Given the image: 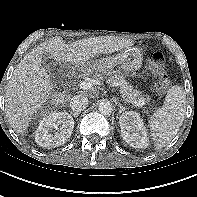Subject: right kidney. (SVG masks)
I'll list each match as a JSON object with an SVG mask.
<instances>
[{
    "instance_id": "ca27d5eb",
    "label": "right kidney",
    "mask_w": 197,
    "mask_h": 197,
    "mask_svg": "<svg viewBox=\"0 0 197 197\" xmlns=\"http://www.w3.org/2000/svg\"><path fill=\"white\" fill-rule=\"evenodd\" d=\"M74 120L67 112H54L44 117L35 132V142L42 147H58L71 136Z\"/></svg>"
}]
</instances>
